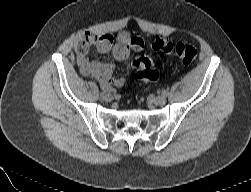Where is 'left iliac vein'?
I'll return each mask as SVG.
<instances>
[{
  "mask_svg": "<svg viewBox=\"0 0 251 192\" xmlns=\"http://www.w3.org/2000/svg\"><path fill=\"white\" fill-rule=\"evenodd\" d=\"M167 99L165 95H159L154 99V104L158 106H163L166 103Z\"/></svg>",
  "mask_w": 251,
  "mask_h": 192,
  "instance_id": "left-iliac-vein-1",
  "label": "left iliac vein"
}]
</instances>
